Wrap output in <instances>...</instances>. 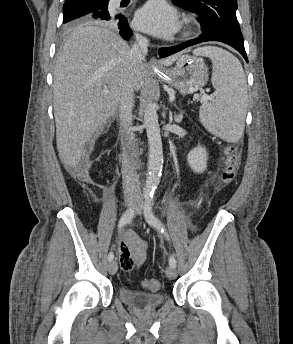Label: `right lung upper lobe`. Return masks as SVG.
<instances>
[{
    "mask_svg": "<svg viewBox=\"0 0 293 344\" xmlns=\"http://www.w3.org/2000/svg\"><path fill=\"white\" fill-rule=\"evenodd\" d=\"M80 1H84V0H66V3L64 5L75 3V2H80ZM75 26H77V25L75 23H73L72 25H70V27H68V29L75 27Z\"/></svg>",
    "mask_w": 293,
    "mask_h": 344,
    "instance_id": "1",
    "label": "right lung upper lobe"
}]
</instances>
